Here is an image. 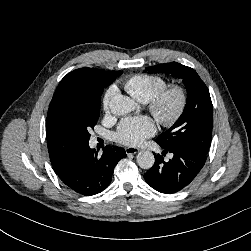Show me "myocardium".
I'll list each match as a JSON object with an SVG mask.
<instances>
[{"label": "myocardium", "instance_id": "1", "mask_svg": "<svg viewBox=\"0 0 251 251\" xmlns=\"http://www.w3.org/2000/svg\"><path fill=\"white\" fill-rule=\"evenodd\" d=\"M187 101L185 88L179 84H173L164 88L150 100L149 110L161 125L170 127L183 115ZM170 102H174L172 108H169Z\"/></svg>", "mask_w": 251, "mask_h": 251}]
</instances>
